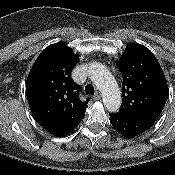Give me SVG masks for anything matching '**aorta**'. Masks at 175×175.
I'll use <instances>...</instances> for the list:
<instances>
[{"mask_svg":"<svg viewBox=\"0 0 175 175\" xmlns=\"http://www.w3.org/2000/svg\"><path fill=\"white\" fill-rule=\"evenodd\" d=\"M89 77L101 91L106 109L110 112L118 111L121 106V93L109 70L101 63H92Z\"/></svg>","mask_w":175,"mask_h":175,"instance_id":"1","label":"aorta"}]
</instances>
